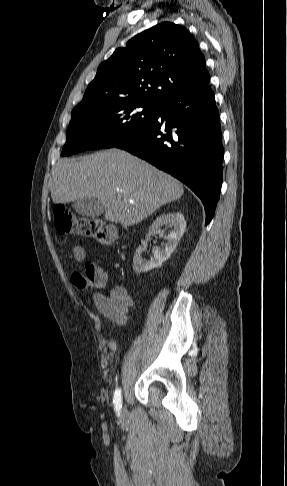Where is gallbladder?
Segmentation results:
<instances>
[{
    "label": "gallbladder",
    "instance_id": "gallbladder-1",
    "mask_svg": "<svg viewBox=\"0 0 287 486\" xmlns=\"http://www.w3.org/2000/svg\"><path fill=\"white\" fill-rule=\"evenodd\" d=\"M72 207L79 215L91 218L100 216L104 212L103 205L95 197L77 199Z\"/></svg>",
    "mask_w": 287,
    "mask_h": 486
}]
</instances>
